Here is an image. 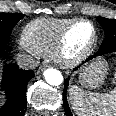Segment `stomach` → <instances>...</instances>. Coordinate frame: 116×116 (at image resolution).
I'll list each match as a JSON object with an SVG mask.
<instances>
[{
	"instance_id": "1",
	"label": "stomach",
	"mask_w": 116,
	"mask_h": 116,
	"mask_svg": "<svg viewBox=\"0 0 116 116\" xmlns=\"http://www.w3.org/2000/svg\"><path fill=\"white\" fill-rule=\"evenodd\" d=\"M106 75V63L102 60H96L82 70L79 82L86 88H96L104 82Z\"/></svg>"
}]
</instances>
